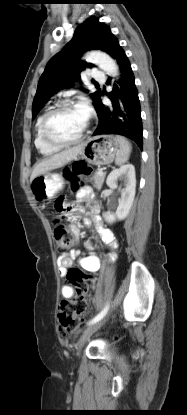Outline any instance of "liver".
Returning <instances> with one entry per match:
<instances>
[{
    "label": "liver",
    "instance_id": "1",
    "mask_svg": "<svg viewBox=\"0 0 187 415\" xmlns=\"http://www.w3.org/2000/svg\"><path fill=\"white\" fill-rule=\"evenodd\" d=\"M82 149L83 144H80L43 159L34 167L30 180L32 181L41 174L66 165L70 161L76 159Z\"/></svg>",
    "mask_w": 187,
    "mask_h": 415
}]
</instances>
